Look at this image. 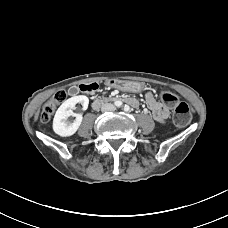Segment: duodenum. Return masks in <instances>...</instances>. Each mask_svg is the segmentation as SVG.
Masks as SVG:
<instances>
[{
	"label": "duodenum",
	"instance_id": "duodenum-1",
	"mask_svg": "<svg viewBox=\"0 0 228 228\" xmlns=\"http://www.w3.org/2000/svg\"><path fill=\"white\" fill-rule=\"evenodd\" d=\"M86 92H91V91H93V89H87V90H85ZM111 100H116V101H119V100H117V98H112ZM115 101V102H116ZM127 101V100H126ZM104 102H106V99H102V98H100V99H96L94 102H93V107L94 108H98L100 105H102Z\"/></svg>",
	"mask_w": 228,
	"mask_h": 228
}]
</instances>
